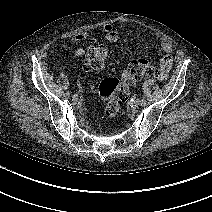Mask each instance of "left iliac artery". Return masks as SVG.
<instances>
[{
	"mask_svg": "<svg viewBox=\"0 0 212 212\" xmlns=\"http://www.w3.org/2000/svg\"><path fill=\"white\" fill-rule=\"evenodd\" d=\"M140 101H141V106L145 107L147 105V101L144 98H142Z\"/></svg>",
	"mask_w": 212,
	"mask_h": 212,
	"instance_id": "1",
	"label": "left iliac artery"
}]
</instances>
